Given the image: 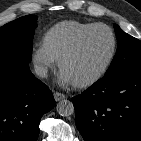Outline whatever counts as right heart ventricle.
<instances>
[{
	"instance_id": "obj_1",
	"label": "right heart ventricle",
	"mask_w": 141,
	"mask_h": 141,
	"mask_svg": "<svg viewBox=\"0 0 141 141\" xmlns=\"http://www.w3.org/2000/svg\"><path fill=\"white\" fill-rule=\"evenodd\" d=\"M96 23L65 20L51 26L42 36L41 45L56 60H59L64 51L75 38L86 28Z\"/></svg>"
}]
</instances>
